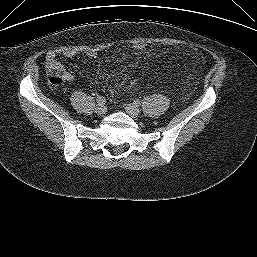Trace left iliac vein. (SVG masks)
I'll return each mask as SVG.
<instances>
[{
    "instance_id": "1",
    "label": "left iliac vein",
    "mask_w": 257,
    "mask_h": 257,
    "mask_svg": "<svg viewBox=\"0 0 257 257\" xmlns=\"http://www.w3.org/2000/svg\"><path fill=\"white\" fill-rule=\"evenodd\" d=\"M125 110L126 112L133 118H137L140 114V110L138 107H136L135 105L133 104H127L125 106Z\"/></svg>"
}]
</instances>
